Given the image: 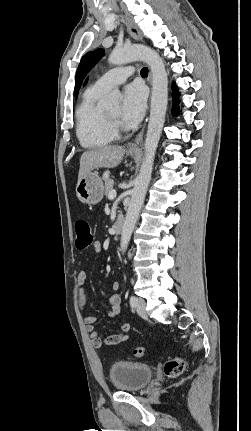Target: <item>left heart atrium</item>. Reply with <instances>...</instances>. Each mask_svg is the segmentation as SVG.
Listing matches in <instances>:
<instances>
[{"label": "left heart atrium", "mask_w": 251, "mask_h": 431, "mask_svg": "<svg viewBox=\"0 0 251 431\" xmlns=\"http://www.w3.org/2000/svg\"><path fill=\"white\" fill-rule=\"evenodd\" d=\"M147 93L139 83L128 85L124 89L121 115L129 123L139 121L146 108Z\"/></svg>", "instance_id": "1"}]
</instances>
